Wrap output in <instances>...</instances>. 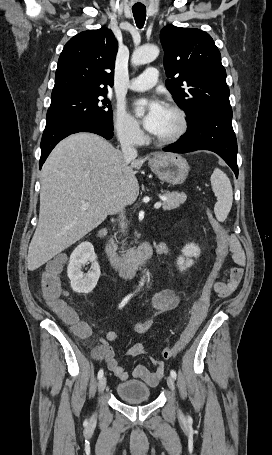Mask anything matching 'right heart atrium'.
<instances>
[{
  "label": "right heart atrium",
  "instance_id": "1",
  "mask_svg": "<svg viewBox=\"0 0 272 455\" xmlns=\"http://www.w3.org/2000/svg\"><path fill=\"white\" fill-rule=\"evenodd\" d=\"M113 126L118 139L128 145H138L143 140V132L137 121L125 109L115 110Z\"/></svg>",
  "mask_w": 272,
  "mask_h": 455
}]
</instances>
